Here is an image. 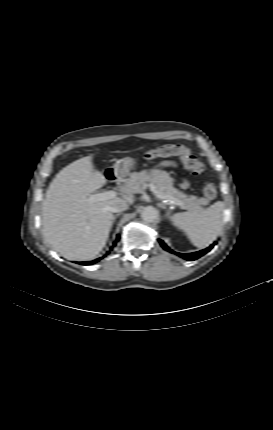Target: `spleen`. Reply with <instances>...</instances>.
<instances>
[{"label": "spleen", "instance_id": "obj_1", "mask_svg": "<svg viewBox=\"0 0 273 430\" xmlns=\"http://www.w3.org/2000/svg\"><path fill=\"white\" fill-rule=\"evenodd\" d=\"M224 203L217 201L206 210L180 212L170 217L172 224L182 230L193 245L205 248L219 235L223 228Z\"/></svg>", "mask_w": 273, "mask_h": 430}]
</instances>
